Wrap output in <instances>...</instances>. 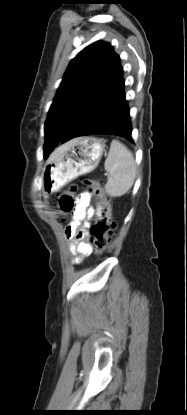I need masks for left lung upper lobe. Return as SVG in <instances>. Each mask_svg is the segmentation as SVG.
Returning <instances> with one entry per match:
<instances>
[{
	"mask_svg": "<svg viewBox=\"0 0 187 415\" xmlns=\"http://www.w3.org/2000/svg\"><path fill=\"white\" fill-rule=\"evenodd\" d=\"M113 52L109 43L97 41L84 48L69 64L45 123L44 158L68 130L97 109V99L90 98V93Z\"/></svg>",
	"mask_w": 187,
	"mask_h": 415,
	"instance_id": "1",
	"label": "left lung upper lobe"
}]
</instances>
